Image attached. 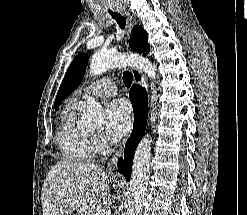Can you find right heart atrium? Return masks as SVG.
Here are the masks:
<instances>
[{
    "mask_svg": "<svg viewBox=\"0 0 247 215\" xmlns=\"http://www.w3.org/2000/svg\"><path fill=\"white\" fill-rule=\"evenodd\" d=\"M94 144L96 147V151L103 153L107 150L108 148V139L105 135L102 133L94 134Z\"/></svg>",
    "mask_w": 247,
    "mask_h": 215,
    "instance_id": "obj_1",
    "label": "right heart atrium"
}]
</instances>
